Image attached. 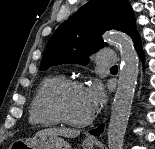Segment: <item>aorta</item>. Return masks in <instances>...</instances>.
Here are the masks:
<instances>
[{
    "mask_svg": "<svg viewBox=\"0 0 155 149\" xmlns=\"http://www.w3.org/2000/svg\"><path fill=\"white\" fill-rule=\"evenodd\" d=\"M103 38L116 45L121 54L118 87L108 125V147L109 149H122L139 73V60L128 35L113 31L105 33Z\"/></svg>",
    "mask_w": 155,
    "mask_h": 149,
    "instance_id": "762f6f07",
    "label": "aorta"
}]
</instances>
